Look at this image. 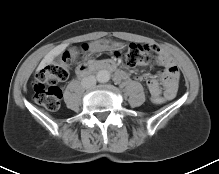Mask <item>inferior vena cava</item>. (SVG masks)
<instances>
[{"label":"inferior vena cava","instance_id":"1","mask_svg":"<svg viewBox=\"0 0 219 174\" xmlns=\"http://www.w3.org/2000/svg\"><path fill=\"white\" fill-rule=\"evenodd\" d=\"M81 85L85 88V89H92L95 87L96 85V78L95 76H87L84 77L81 81Z\"/></svg>","mask_w":219,"mask_h":174}]
</instances>
